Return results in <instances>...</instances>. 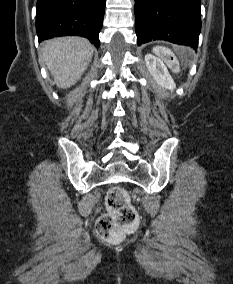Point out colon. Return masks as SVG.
<instances>
[{"mask_svg":"<svg viewBox=\"0 0 233 284\" xmlns=\"http://www.w3.org/2000/svg\"><path fill=\"white\" fill-rule=\"evenodd\" d=\"M154 52L174 73L180 72L179 61L169 48L156 46ZM106 207L108 213L98 218L96 229L101 237L116 241L135 226L138 215L130 202L128 192L120 186L108 191Z\"/></svg>","mask_w":233,"mask_h":284,"instance_id":"1","label":"colon"}]
</instances>
